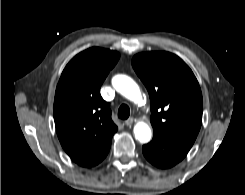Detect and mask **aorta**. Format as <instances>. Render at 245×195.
Wrapping results in <instances>:
<instances>
[{"instance_id": "762f6f07", "label": "aorta", "mask_w": 245, "mask_h": 195, "mask_svg": "<svg viewBox=\"0 0 245 195\" xmlns=\"http://www.w3.org/2000/svg\"><path fill=\"white\" fill-rule=\"evenodd\" d=\"M112 85L117 92L133 102L137 103L142 98L138 85L126 75L114 76ZM134 134L136 139L141 143L149 142L152 136L150 127L144 122H138L134 126Z\"/></svg>"}]
</instances>
